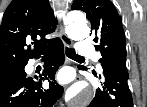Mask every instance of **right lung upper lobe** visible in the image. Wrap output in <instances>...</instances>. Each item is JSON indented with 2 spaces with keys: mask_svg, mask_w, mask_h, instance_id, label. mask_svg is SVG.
Listing matches in <instances>:
<instances>
[{
  "mask_svg": "<svg viewBox=\"0 0 147 107\" xmlns=\"http://www.w3.org/2000/svg\"><path fill=\"white\" fill-rule=\"evenodd\" d=\"M56 25L48 0H12L0 26V69L25 66L29 59L38 57L59 39L44 38Z\"/></svg>",
  "mask_w": 147,
  "mask_h": 107,
  "instance_id": "cb5924a9",
  "label": "right lung upper lobe"
}]
</instances>
